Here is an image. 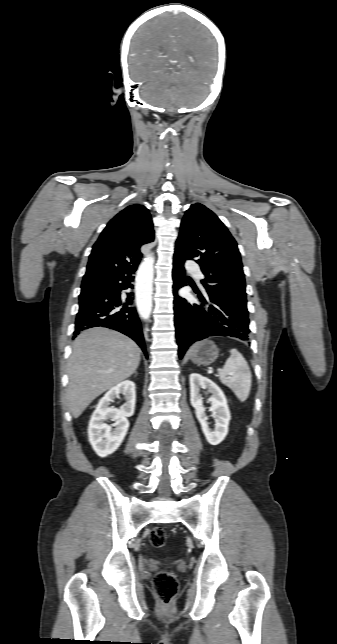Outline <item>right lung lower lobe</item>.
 I'll return each mask as SVG.
<instances>
[{"instance_id": "98d812e1", "label": "right lung lower lobe", "mask_w": 337, "mask_h": 644, "mask_svg": "<svg viewBox=\"0 0 337 644\" xmlns=\"http://www.w3.org/2000/svg\"><path fill=\"white\" fill-rule=\"evenodd\" d=\"M137 266H128L108 276L91 293L79 298L74 335L91 327L111 328L132 338L146 354L133 293H127L126 298L121 296L122 290L133 289V274Z\"/></svg>"}]
</instances>
